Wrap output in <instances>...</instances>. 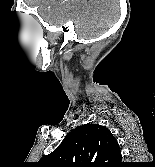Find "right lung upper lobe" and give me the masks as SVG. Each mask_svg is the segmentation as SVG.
<instances>
[{
    "label": "right lung upper lobe",
    "instance_id": "cb5924a9",
    "mask_svg": "<svg viewBox=\"0 0 155 167\" xmlns=\"http://www.w3.org/2000/svg\"><path fill=\"white\" fill-rule=\"evenodd\" d=\"M122 156L113 134L104 126L85 124L67 134L40 160L42 167H117Z\"/></svg>",
    "mask_w": 155,
    "mask_h": 167
}]
</instances>
